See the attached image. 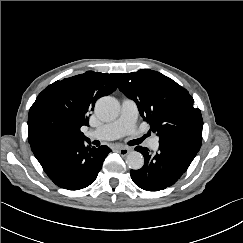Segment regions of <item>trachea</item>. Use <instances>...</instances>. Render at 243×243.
Here are the masks:
<instances>
[{
  "mask_svg": "<svg viewBox=\"0 0 243 243\" xmlns=\"http://www.w3.org/2000/svg\"><path fill=\"white\" fill-rule=\"evenodd\" d=\"M143 141V138L141 139H137V140H133V144L136 145V144H140L141 142Z\"/></svg>",
  "mask_w": 243,
  "mask_h": 243,
  "instance_id": "obj_1",
  "label": "trachea"
}]
</instances>
